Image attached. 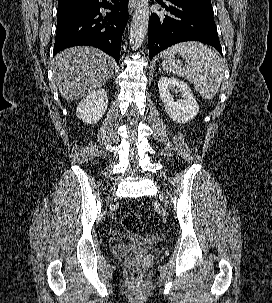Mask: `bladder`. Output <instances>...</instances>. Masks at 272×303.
<instances>
[{
  "label": "bladder",
  "mask_w": 272,
  "mask_h": 303,
  "mask_svg": "<svg viewBox=\"0 0 272 303\" xmlns=\"http://www.w3.org/2000/svg\"><path fill=\"white\" fill-rule=\"evenodd\" d=\"M147 246L148 241L146 238L130 236L126 240L113 245L112 253L117 257H121Z\"/></svg>",
  "instance_id": "31cf9c89"
}]
</instances>
